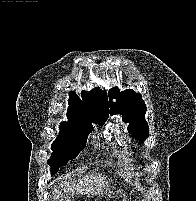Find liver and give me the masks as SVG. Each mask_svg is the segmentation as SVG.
I'll use <instances>...</instances> for the list:
<instances>
[{"mask_svg": "<svg viewBox=\"0 0 196 201\" xmlns=\"http://www.w3.org/2000/svg\"><path fill=\"white\" fill-rule=\"evenodd\" d=\"M58 181L60 182L59 178ZM60 188L64 193L71 192L73 195L76 191L81 196L87 194V197L89 198L90 195H103L104 189H106L105 193L107 195V191L109 190V182L107 181L106 177L101 176V174L89 173L88 175L84 176L82 180L80 179V182H77L76 178L72 179L67 175L63 181L60 182L59 186H56L55 188L56 194L58 196L63 194L60 192ZM111 193L112 192L109 190V198H111Z\"/></svg>", "mask_w": 196, "mask_h": 201, "instance_id": "obj_1", "label": "liver"}]
</instances>
